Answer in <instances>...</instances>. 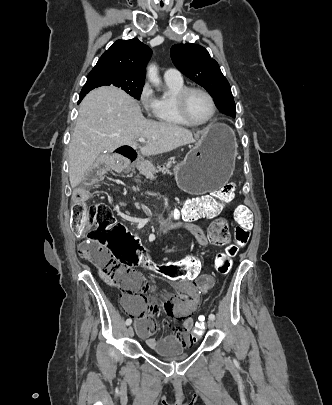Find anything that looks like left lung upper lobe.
<instances>
[{
	"instance_id": "1",
	"label": "left lung upper lobe",
	"mask_w": 332,
	"mask_h": 405,
	"mask_svg": "<svg viewBox=\"0 0 332 405\" xmlns=\"http://www.w3.org/2000/svg\"><path fill=\"white\" fill-rule=\"evenodd\" d=\"M170 54L177 69L204 87L222 113L235 117L236 105L231 87L218 63L204 47L197 44H176L172 46Z\"/></svg>"
}]
</instances>
